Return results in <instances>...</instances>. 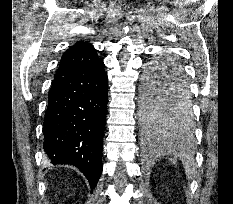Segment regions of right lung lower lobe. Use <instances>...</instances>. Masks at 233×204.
<instances>
[{
	"instance_id": "right-lung-lower-lobe-1",
	"label": "right lung lower lobe",
	"mask_w": 233,
	"mask_h": 204,
	"mask_svg": "<svg viewBox=\"0 0 233 204\" xmlns=\"http://www.w3.org/2000/svg\"><path fill=\"white\" fill-rule=\"evenodd\" d=\"M103 62L77 65L54 83L44 119V151L54 164L77 167L96 187L102 173L103 130L107 112Z\"/></svg>"
}]
</instances>
